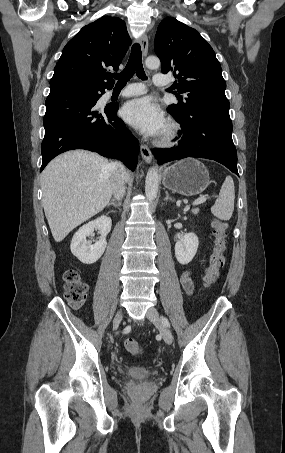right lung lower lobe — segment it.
<instances>
[{
	"instance_id": "right-lung-lower-lobe-1",
	"label": "right lung lower lobe",
	"mask_w": 285,
	"mask_h": 453,
	"mask_svg": "<svg viewBox=\"0 0 285 453\" xmlns=\"http://www.w3.org/2000/svg\"><path fill=\"white\" fill-rule=\"evenodd\" d=\"M93 93L74 86L50 89L43 119L45 136L40 172L55 156L73 149L116 158L132 171L135 169L138 140L116 116L118 105L96 110L94 106L104 91L98 92L97 97H92Z\"/></svg>"
}]
</instances>
